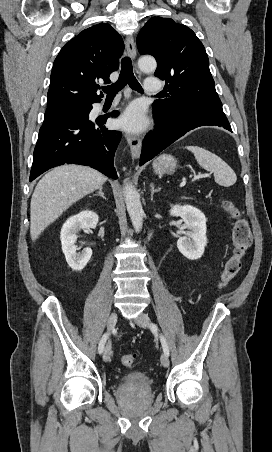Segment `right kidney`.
<instances>
[{"instance_id":"obj_1","label":"right kidney","mask_w":272,"mask_h":452,"mask_svg":"<svg viewBox=\"0 0 272 452\" xmlns=\"http://www.w3.org/2000/svg\"><path fill=\"white\" fill-rule=\"evenodd\" d=\"M98 221L99 216L95 212L85 210L67 219L62 226L60 233L62 251L68 265L75 271H81L92 256L91 248H85L82 253L77 252L76 233L81 229H95Z\"/></svg>"}]
</instances>
